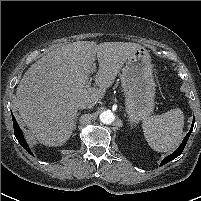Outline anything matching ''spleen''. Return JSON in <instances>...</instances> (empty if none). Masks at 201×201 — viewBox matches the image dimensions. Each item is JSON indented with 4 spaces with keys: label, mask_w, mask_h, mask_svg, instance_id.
<instances>
[{
    "label": "spleen",
    "mask_w": 201,
    "mask_h": 201,
    "mask_svg": "<svg viewBox=\"0 0 201 201\" xmlns=\"http://www.w3.org/2000/svg\"><path fill=\"white\" fill-rule=\"evenodd\" d=\"M183 127L184 114L178 108L148 117L142 124L146 141L158 152L174 150L182 138Z\"/></svg>",
    "instance_id": "3e777b00"
}]
</instances>
